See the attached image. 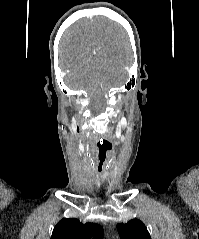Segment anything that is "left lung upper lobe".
I'll return each mask as SVG.
<instances>
[{
  "instance_id": "left-lung-upper-lobe-1",
  "label": "left lung upper lobe",
  "mask_w": 199,
  "mask_h": 239,
  "mask_svg": "<svg viewBox=\"0 0 199 239\" xmlns=\"http://www.w3.org/2000/svg\"><path fill=\"white\" fill-rule=\"evenodd\" d=\"M121 239H151L146 226L140 220H132L126 224H117Z\"/></svg>"
}]
</instances>
